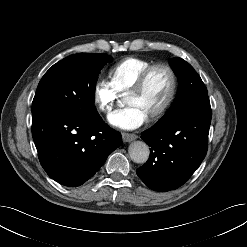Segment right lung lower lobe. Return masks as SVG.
Returning a JSON list of instances; mask_svg holds the SVG:
<instances>
[{
	"instance_id": "1",
	"label": "right lung lower lobe",
	"mask_w": 247,
	"mask_h": 247,
	"mask_svg": "<svg viewBox=\"0 0 247 247\" xmlns=\"http://www.w3.org/2000/svg\"><path fill=\"white\" fill-rule=\"evenodd\" d=\"M32 136L46 173L68 187L86 182L122 144L98 113L82 116L68 108L33 117Z\"/></svg>"
}]
</instances>
